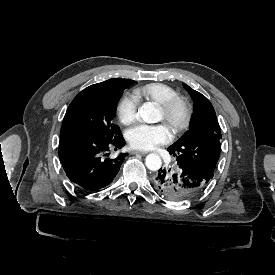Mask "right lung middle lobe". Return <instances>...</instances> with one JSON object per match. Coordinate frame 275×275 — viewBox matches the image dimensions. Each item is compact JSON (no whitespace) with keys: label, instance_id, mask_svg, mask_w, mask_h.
<instances>
[{"label":"right lung middle lobe","instance_id":"1","mask_svg":"<svg viewBox=\"0 0 275 275\" xmlns=\"http://www.w3.org/2000/svg\"><path fill=\"white\" fill-rule=\"evenodd\" d=\"M91 85L81 91L69 105L63 119L61 136L86 134L112 139L119 128L112 123L122 91L133 84Z\"/></svg>","mask_w":275,"mask_h":275}]
</instances>
